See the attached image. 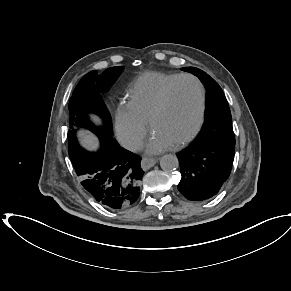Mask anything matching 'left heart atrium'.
Segmentation results:
<instances>
[{
  "label": "left heart atrium",
  "mask_w": 291,
  "mask_h": 291,
  "mask_svg": "<svg viewBox=\"0 0 291 291\" xmlns=\"http://www.w3.org/2000/svg\"><path fill=\"white\" fill-rule=\"evenodd\" d=\"M172 146L173 144L169 140L156 132H153L147 143L146 150L150 154H157L171 148Z\"/></svg>",
  "instance_id": "39dd6f15"
}]
</instances>
